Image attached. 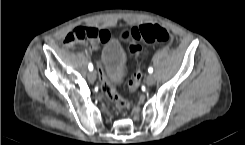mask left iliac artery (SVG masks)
Segmentation results:
<instances>
[{
	"label": "left iliac artery",
	"mask_w": 245,
	"mask_h": 145,
	"mask_svg": "<svg viewBox=\"0 0 245 145\" xmlns=\"http://www.w3.org/2000/svg\"><path fill=\"white\" fill-rule=\"evenodd\" d=\"M148 72H149V73H152V72H153V68H152V67H149V68H148Z\"/></svg>",
	"instance_id": "44dca946"
}]
</instances>
